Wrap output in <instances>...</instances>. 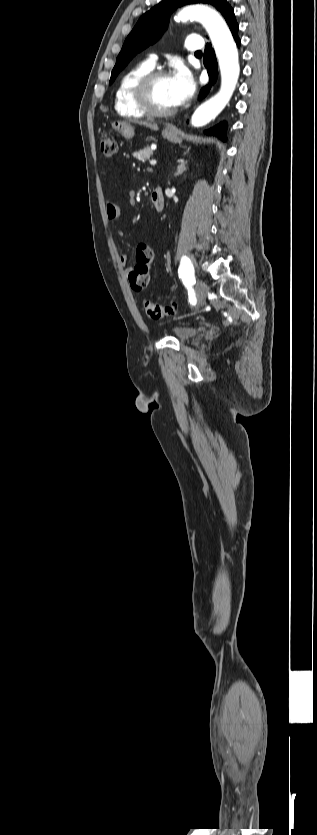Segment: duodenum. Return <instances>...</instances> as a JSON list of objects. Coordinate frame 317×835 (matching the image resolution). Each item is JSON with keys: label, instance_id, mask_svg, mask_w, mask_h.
<instances>
[{"label": "duodenum", "instance_id": "obj_1", "mask_svg": "<svg viewBox=\"0 0 317 835\" xmlns=\"http://www.w3.org/2000/svg\"><path fill=\"white\" fill-rule=\"evenodd\" d=\"M151 203L154 209L158 212L164 208V194L160 187L153 189L150 195Z\"/></svg>", "mask_w": 317, "mask_h": 835}]
</instances>
